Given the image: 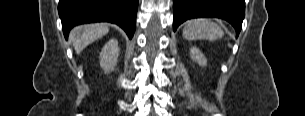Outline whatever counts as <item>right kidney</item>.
Returning <instances> with one entry per match:
<instances>
[{"mask_svg":"<svg viewBox=\"0 0 305 116\" xmlns=\"http://www.w3.org/2000/svg\"><path fill=\"white\" fill-rule=\"evenodd\" d=\"M118 55V41L116 39H111L104 45L100 53V66L105 73L114 70V67L117 65Z\"/></svg>","mask_w":305,"mask_h":116,"instance_id":"1","label":"right kidney"}]
</instances>
